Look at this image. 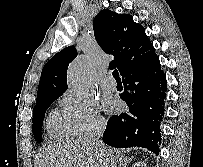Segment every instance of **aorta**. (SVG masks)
<instances>
[{
	"label": "aorta",
	"instance_id": "aorta-1",
	"mask_svg": "<svg viewBox=\"0 0 203 167\" xmlns=\"http://www.w3.org/2000/svg\"><path fill=\"white\" fill-rule=\"evenodd\" d=\"M92 66L86 56L75 59L68 68V88L76 96L85 97L91 86Z\"/></svg>",
	"mask_w": 203,
	"mask_h": 167
}]
</instances>
